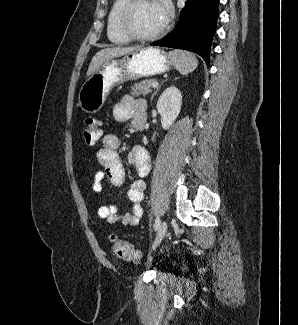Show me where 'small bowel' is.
Listing matches in <instances>:
<instances>
[{"mask_svg":"<svg viewBox=\"0 0 298 325\" xmlns=\"http://www.w3.org/2000/svg\"><path fill=\"white\" fill-rule=\"evenodd\" d=\"M140 101L144 102L143 100H135L130 95H123L114 107V118L119 122L128 121L133 116L136 104ZM119 144V138L115 134L109 133L102 136V147L96 153L100 169L94 175L92 186L96 194L102 191V180L105 177L116 187H120L124 182L125 173L117 152ZM127 159L140 177L131 183L127 193L132 202V211L120 214L117 205H102L98 209V216L111 224L122 223L135 226L143 214L141 202L144 197L145 182L142 178L150 172V157L146 149L141 146H134L129 151Z\"/></svg>","mask_w":298,"mask_h":325,"instance_id":"obj_1","label":"small bowel"}]
</instances>
